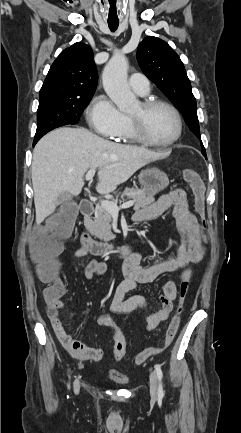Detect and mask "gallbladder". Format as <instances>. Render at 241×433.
I'll list each match as a JSON object with an SVG mask.
<instances>
[{
  "label": "gallbladder",
  "mask_w": 241,
  "mask_h": 433,
  "mask_svg": "<svg viewBox=\"0 0 241 433\" xmlns=\"http://www.w3.org/2000/svg\"><path fill=\"white\" fill-rule=\"evenodd\" d=\"M72 199V195L68 192H63L61 193L56 202L57 203H68V204H64L63 207L64 209H68L71 214L73 215V218H75L78 214V206L75 202H70Z\"/></svg>",
  "instance_id": "bac80fb5"
}]
</instances>
